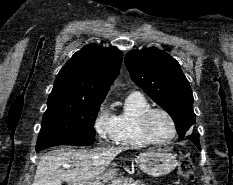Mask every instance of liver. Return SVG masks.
<instances>
[{
  "mask_svg": "<svg viewBox=\"0 0 233 185\" xmlns=\"http://www.w3.org/2000/svg\"><path fill=\"white\" fill-rule=\"evenodd\" d=\"M125 150L122 147H108L93 150L59 149L48 152L37 164L32 185H62L63 182L73 184L97 178L104 173L112 160ZM64 165L70 167L64 168Z\"/></svg>",
  "mask_w": 233,
  "mask_h": 185,
  "instance_id": "1",
  "label": "liver"
}]
</instances>
